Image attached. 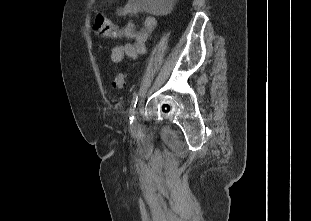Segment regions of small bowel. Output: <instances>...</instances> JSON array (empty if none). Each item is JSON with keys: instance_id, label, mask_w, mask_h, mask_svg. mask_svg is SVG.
<instances>
[{"instance_id": "small-bowel-1", "label": "small bowel", "mask_w": 311, "mask_h": 221, "mask_svg": "<svg viewBox=\"0 0 311 221\" xmlns=\"http://www.w3.org/2000/svg\"><path fill=\"white\" fill-rule=\"evenodd\" d=\"M143 11L141 0H128L117 14L119 16L136 15ZM157 20L152 15H147L141 29H137L133 23H128L122 30V36L131 42H125L115 46L111 52L113 63H120L124 57L135 59L147 52L146 41L151 32L156 28Z\"/></svg>"}]
</instances>
